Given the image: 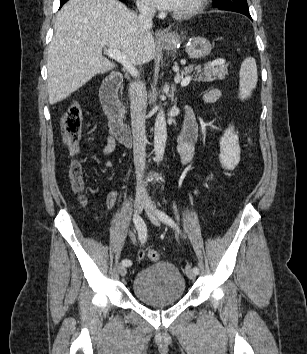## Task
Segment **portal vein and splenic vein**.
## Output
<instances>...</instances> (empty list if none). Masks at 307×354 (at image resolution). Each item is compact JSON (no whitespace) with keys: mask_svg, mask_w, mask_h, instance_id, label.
Wrapping results in <instances>:
<instances>
[{"mask_svg":"<svg viewBox=\"0 0 307 354\" xmlns=\"http://www.w3.org/2000/svg\"><path fill=\"white\" fill-rule=\"evenodd\" d=\"M106 54L108 55V57L118 61L119 63H121L126 69L127 71L131 74V75H136L137 72L134 68V66L132 65V63L126 58V56L119 50L117 49H106ZM225 62V60L220 59L217 61H214L213 64L217 65V64H223ZM180 77H175V82H180ZM191 81V77L190 76H186L185 78H182L181 80V86H187Z\"/></svg>","mask_w":307,"mask_h":354,"instance_id":"obj_1","label":"portal vein and splenic vein"}]
</instances>
